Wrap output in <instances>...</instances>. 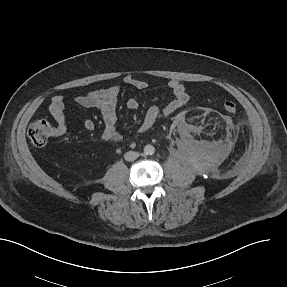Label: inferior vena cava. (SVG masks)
I'll list each match as a JSON object with an SVG mask.
<instances>
[{
	"label": "inferior vena cava",
	"instance_id": "inferior-vena-cava-1",
	"mask_svg": "<svg viewBox=\"0 0 287 287\" xmlns=\"http://www.w3.org/2000/svg\"><path fill=\"white\" fill-rule=\"evenodd\" d=\"M139 157V153L135 151H129L124 154L126 161H134Z\"/></svg>",
	"mask_w": 287,
	"mask_h": 287
}]
</instances>
